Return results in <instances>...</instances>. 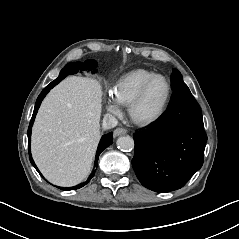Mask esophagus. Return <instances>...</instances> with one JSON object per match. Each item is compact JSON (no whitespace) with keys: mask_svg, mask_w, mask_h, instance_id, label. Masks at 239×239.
Returning a JSON list of instances; mask_svg holds the SVG:
<instances>
[{"mask_svg":"<svg viewBox=\"0 0 239 239\" xmlns=\"http://www.w3.org/2000/svg\"><path fill=\"white\" fill-rule=\"evenodd\" d=\"M126 132H127V130H126L125 128L118 127V128H116V129L114 130L113 135H114V137H117V136H119V135H124V134H126Z\"/></svg>","mask_w":239,"mask_h":239,"instance_id":"esophagus-1","label":"esophagus"}]
</instances>
